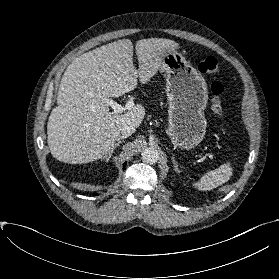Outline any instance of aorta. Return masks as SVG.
Returning a JSON list of instances; mask_svg holds the SVG:
<instances>
[{
    "label": "aorta",
    "instance_id": "aorta-1",
    "mask_svg": "<svg viewBox=\"0 0 279 279\" xmlns=\"http://www.w3.org/2000/svg\"><path fill=\"white\" fill-rule=\"evenodd\" d=\"M142 160L149 164H154L159 160V152L153 147L145 148L142 151Z\"/></svg>",
    "mask_w": 279,
    "mask_h": 279
}]
</instances>
